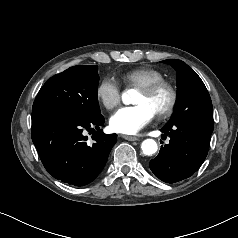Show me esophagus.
I'll use <instances>...</instances> for the list:
<instances>
[{"label": "esophagus", "mask_w": 238, "mask_h": 238, "mask_svg": "<svg viewBox=\"0 0 238 238\" xmlns=\"http://www.w3.org/2000/svg\"><path fill=\"white\" fill-rule=\"evenodd\" d=\"M122 138L128 140V141H137L139 140L137 137L135 136H129V135H121Z\"/></svg>", "instance_id": "1"}]
</instances>
